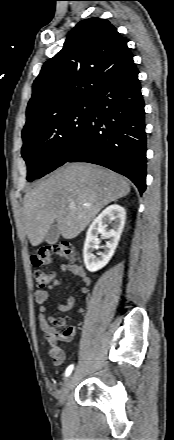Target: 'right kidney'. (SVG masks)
Here are the masks:
<instances>
[{"instance_id":"obj_1","label":"right kidney","mask_w":174,"mask_h":440,"mask_svg":"<svg viewBox=\"0 0 174 440\" xmlns=\"http://www.w3.org/2000/svg\"><path fill=\"white\" fill-rule=\"evenodd\" d=\"M125 219V209L120 205L113 204L104 209L91 223L86 233L83 249L84 264L88 271L95 272L108 264L117 248ZM107 222H112V229H107ZM98 233L109 239L103 247L105 251L100 254L99 258L92 253L98 241Z\"/></svg>"}]
</instances>
